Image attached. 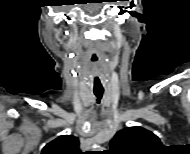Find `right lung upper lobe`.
<instances>
[{"label": "right lung upper lobe", "instance_id": "cb5924a9", "mask_svg": "<svg viewBox=\"0 0 190 154\" xmlns=\"http://www.w3.org/2000/svg\"><path fill=\"white\" fill-rule=\"evenodd\" d=\"M79 140L73 135H62L48 143L41 154H80Z\"/></svg>", "mask_w": 190, "mask_h": 154}]
</instances>
